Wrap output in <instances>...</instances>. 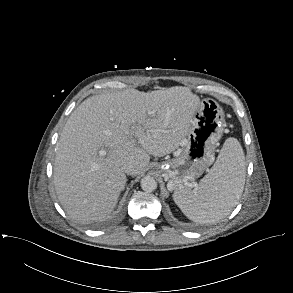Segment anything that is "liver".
<instances>
[{
  "mask_svg": "<svg viewBox=\"0 0 293 293\" xmlns=\"http://www.w3.org/2000/svg\"><path fill=\"white\" fill-rule=\"evenodd\" d=\"M200 99L187 87L135 89L84 100L67 120L56 146L54 185L66 213L100 221L114 210L132 163L140 174L150 156H165L185 139ZM106 149L105 154L99 151Z\"/></svg>",
  "mask_w": 293,
  "mask_h": 293,
  "instance_id": "liver-1",
  "label": "liver"
}]
</instances>
